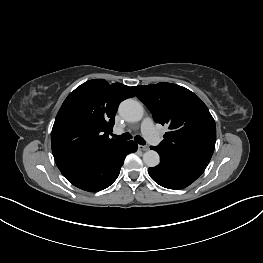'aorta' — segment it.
<instances>
[{"mask_svg": "<svg viewBox=\"0 0 263 263\" xmlns=\"http://www.w3.org/2000/svg\"><path fill=\"white\" fill-rule=\"evenodd\" d=\"M119 114L129 122L140 121L144 114L143 106L136 100H124L119 106ZM143 161L148 167H156L159 164V154L154 150L144 153Z\"/></svg>", "mask_w": 263, "mask_h": 263, "instance_id": "obj_1", "label": "aorta"}]
</instances>
